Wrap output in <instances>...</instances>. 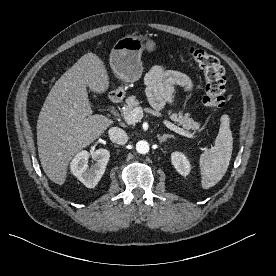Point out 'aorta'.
<instances>
[{
	"instance_id": "obj_1",
	"label": "aorta",
	"mask_w": 276,
	"mask_h": 276,
	"mask_svg": "<svg viewBox=\"0 0 276 276\" xmlns=\"http://www.w3.org/2000/svg\"><path fill=\"white\" fill-rule=\"evenodd\" d=\"M136 151L140 154L149 152V143L145 140H140L136 143Z\"/></svg>"
}]
</instances>
